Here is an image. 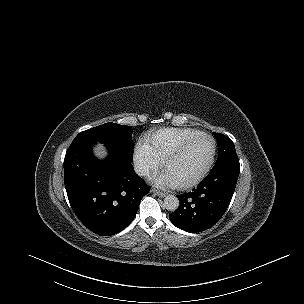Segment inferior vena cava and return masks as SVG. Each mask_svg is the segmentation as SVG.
<instances>
[{
  "label": "inferior vena cava",
  "instance_id": "1",
  "mask_svg": "<svg viewBox=\"0 0 304 304\" xmlns=\"http://www.w3.org/2000/svg\"><path fill=\"white\" fill-rule=\"evenodd\" d=\"M134 170H135V173L138 176L145 177V176H149L150 175V169H149V167L146 166V165H144L143 163H135L134 164Z\"/></svg>",
  "mask_w": 304,
  "mask_h": 304
}]
</instances>
